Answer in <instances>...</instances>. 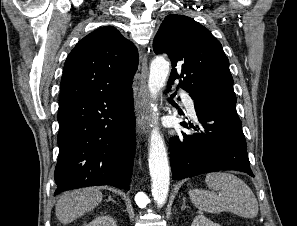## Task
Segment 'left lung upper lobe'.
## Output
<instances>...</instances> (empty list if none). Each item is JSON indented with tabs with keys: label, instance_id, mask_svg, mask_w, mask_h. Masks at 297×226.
I'll return each instance as SVG.
<instances>
[{
	"label": "left lung upper lobe",
	"instance_id": "left-lung-upper-lobe-1",
	"mask_svg": "<svg viewBox=\"0 0 297 226\" xmlns=\"http://www.w3.org/2000/svg\"><path fill=\"white\" fill-rule=\"evenodd\" d=\"M156 54H168L172 62L169 81L179 85L194 101L236 103L229 60L211 32L183 15H168L153 41Z\"/></svg>",
	"mask_w": 297,
	"mask_h": 226
}]
</instances>
